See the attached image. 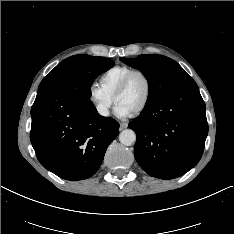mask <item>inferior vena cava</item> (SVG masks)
<instances>
[{"label": "inferior vena cava", "instance_id": "1", "mask_svg": "<svg viewBox=\"0 0 234 234\" xmlns=\"http://www.w3.org/2000/svg\"><path fill=\"white\" fill-rule=\"evenodd\" d=\"M97 111L102 116H108L109 115L108 109L106 107H104V106H97Z\"/></svg>", "mask_w": 234, "mask_h": 234}]
</instances>
